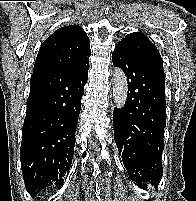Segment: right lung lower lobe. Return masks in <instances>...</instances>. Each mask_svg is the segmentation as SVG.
Masks as SVG:
<instances>
[{"label": "right lung lower lobe", "mask_w": 196, "mask_h": 201, "mask_svg": "<svg viewBox=\"0 0 196 201\" xmlns=\"http://www.w3.org/2000/svg\"><path fill=\"white\" fill-rule=\"evenodd\" d=\"M89 63L32 74L20 148L24 183L35 197L69 172Z\"/></svg>", "instance_id": "right-lung-lower-lobe-1"}]
</instances>
